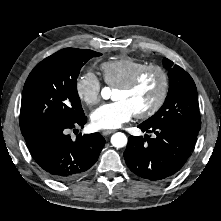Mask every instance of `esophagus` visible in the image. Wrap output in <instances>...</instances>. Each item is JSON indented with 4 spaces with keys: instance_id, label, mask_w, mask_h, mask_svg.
Listing matches in <instances>:
<instances>
[{
    "instance_id": "1",
    "label": "esophagus",
    "mask_w": 221,
    "mask_h": 221,
    "mask_svg": "<svg viewBox=\"0 0 221 221\" xmlns=\"http://www.w3.org/2000/svg\"><path fill=\"white\" fill-rule=\"evenodd\" d=\"M114 132H115V130H104V131H102V135L103 136H107V135H110V134H112Z\"/></svg>"
}]
</instances>
